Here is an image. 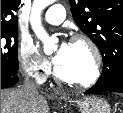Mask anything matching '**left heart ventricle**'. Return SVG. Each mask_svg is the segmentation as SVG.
I'll return each instance as SVG.
<instances>
[{
  "instance_id": "1",
  "label": "left heart ventricle",
  "mask_w": 123,
  "mask_h": 113,
  "mask_svg": "<svg viewBox=\"0 0 123 113\" xmlns=\"http://www.w3.org/2000/svg\"><path fill=\"white\" fill-rule=\"evenodd\" d=\"M57 67L64 77L74 80H84L92 72L91 53L81 43L70 44L65 59Z\"/></svg>"
}]
</instances>
